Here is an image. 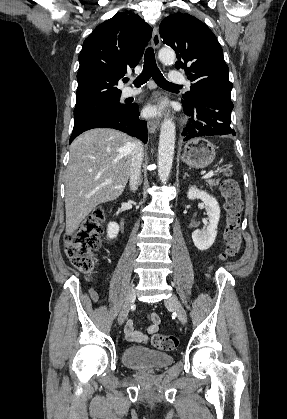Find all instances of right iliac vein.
<instances>
[{"label":"right iliac vein","instance_id":"right-iliac-vein-1","mask_svg":"<svg viewBox=\"0 0 287 419\" xmlns=\"http://www.w3.org/2000/svg\"><path fill=\"white\" fill-rule=\"evenodd\" d=\"M135 298H136V293H135V290L132 288L128 292V294L126 296V299L124 301L123 307H122V309L119 313V316H118V324L119 325H122L125 322V320L128 316L130 307L134 303Z\"/></svg>","mask_w":287,"mask_h":419}]
</instances>
